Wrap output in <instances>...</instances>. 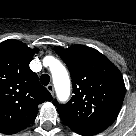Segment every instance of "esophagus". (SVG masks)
Instances as JSON below:
<instances>
[{"label": "esophagus", "instance_id": "1", "mask_svg": "<svg viewBox=\"0 0 136 136\" xmlns=\"http://www.w3.org/2000/svg\"><path fill=\"white\" fill-rule=\"evenodd\" d=\"M46 88L51 93V95L53 96L54 95V86H53V84L47 85Z\"/></svg>", "mask_w": 136, "mask_h": 136}]
</instances>
